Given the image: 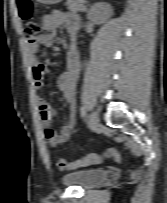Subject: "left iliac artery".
<instances>
[{
  "mask_svg": "<svg viewBox=\"0 0 167 203\" xmlns=\"http://www.w3.org/2000/svg\"><path fill=\"white\" fill-rule=\"evenodd\" d=\"M80 114H81L82 117H84L86 115V107L85 106L81 107Z\"/></svg>",
  "mask_w": 167,
  "mask_h": 203,
  "instance_id": "obj_1",
  "label": "left iliac artery"
}]
</instances>
